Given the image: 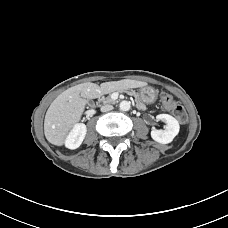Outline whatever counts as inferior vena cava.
Listing matches in <instances>:
<instances>
[{
  "instance_id": "inferior-vena-cava-1",
  "label": "inferior vena cava",
  "mask_w": 228,
  "mask_h": 228,
  "mask_svg": "<svg viewBox=\"0 0 228 228\" xmlns=\"http://www.w3.org/2000/svg\"><path fill=\"white\" fill-rule=\"evenodd\" d=\"M112 109H113V106L109 104L103 105L100 108L101 112H108V111H111Z\"/></svg>"
}]
</instances>
